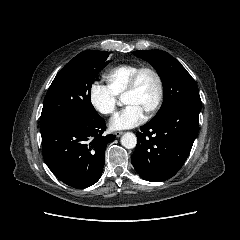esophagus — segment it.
I'll return each mask as SVG.
<instances>
[{
    "mask_svg": "<svg viewBox=\"0 0 240 240\" xmlns=\"http://www.w3.org/2000/svg\"><path fill=\"white\" fill-rule=\"evenodd\" d=\"M114 134L116 135V137H120L123 132L122 131H115Z\"/></svg>",
    "mask_w": 240,
    "mask_h": 240,
    "instance_id": "34e87169",
    "label": "esophagus"
}]
</instances>
